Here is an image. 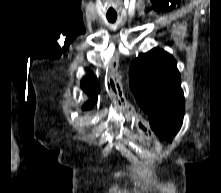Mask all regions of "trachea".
I'll list each match as a JSON object with an SVG mask.
<instances>
[{
	"mask_svg": "<svg viewBox=\"0 0 221 193\" xmlns=\"http://www.w3.org/2000/svg\"><path fill=\"white\" fill-rule=\"evenodd\" d=\"M107 19L110 23H114L117 19V15H107Z\"/></svg>",
	"mask_w": 221,
	"mask_h": 193,
	"instance_id": "trachea-1",
	"label": "trachea"
}]
</instances>
